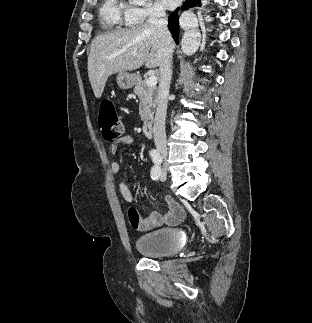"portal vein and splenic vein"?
I'll return each instance as SVG.
<instances>
[{"mask_svg":"<svg viewBox=\"0 0 312 323\" xmlns=\"http://www.w3.org/2000/svg\"><path fill=\"white\" fill-rule=\"evenodd\" d=\"M133 56H136V54H133ZM156 84H157L156 76H150L149 80H147V86H156Z\"/></svg>","mask_w":312,"mask_h":323,"instance_id":"obj_1","label":"portal vein and splenic vein"}]
</instances>
